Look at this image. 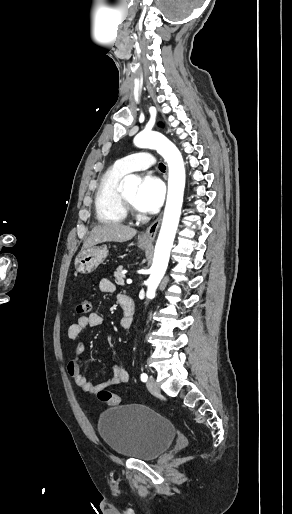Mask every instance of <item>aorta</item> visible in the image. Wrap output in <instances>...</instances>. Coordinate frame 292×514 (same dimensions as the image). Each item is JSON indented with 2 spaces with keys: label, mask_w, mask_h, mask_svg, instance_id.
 Returning a JSON list of instances; mask_svg holds the SVG:
<instances>
[{
  "label": "aorta",
  "mask_w": 292,
  "mask_h": 514,
  "mask_svg": "<svg viewBox=\"0 0 292 514\" xmlns=\"http://www.w3.org/2000/svg\"><path fill=\"white\" fill-rule=\"evenodd\" d=\"M134 144L137 148L157 150L158 154L167 162L169 168L166 206L160 234L155 246L151 276L147 280L148 290L146 296L147 298H153L166 272L181 216L185 188V168L178 148L170 140H167L165 136L159 134V132H145L143 130V132L136 136ZM122 182L124 186H132V188L139 184L136 176H127Z\"/></svg>",
  "instance_id": "aorta-1"
}]
</instances>
